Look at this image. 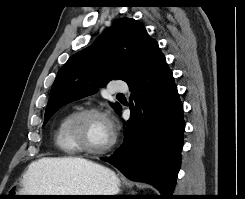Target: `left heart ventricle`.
<instances>
[{
  "mask_svg": "<svg viewBox=\"0 0 245 199\" xmlns=\"http://www.w3.org/2000/svg\"><path fill=\"white\" fill-rule=\"evenodd\" d=\"M77 137L90 148H102L111 139L110 124L101 116L86 117L79 125Z\"/></svg>",
  "mask_w": 245,
  "mask_h": 199,
  "instance_id": "obj_1",
  "label": "left heart ventricle"
}]
</instances>
